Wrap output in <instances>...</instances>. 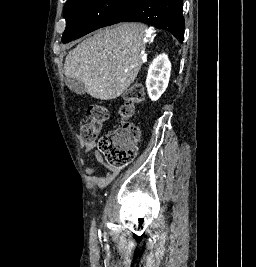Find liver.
Listing matches in <instances>:
<instances>
[{
    "label": "liver",
    "instance_id": "obj_1",
    "mask_svg": "<svg viewBox=\"0 0 256 267\" xmlns=\"http://www.w3.org/2000/svg\"><path fill=\"white\" fill-rule=\"evenodd\" d=\"M146 26L115 24L97 30L66 56L63 72L97 100H114L137 78L143 64Z\"/></svg>",
    "mask_w": 256,
    "mask_h": 267
}]
</instances>
